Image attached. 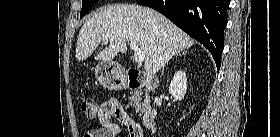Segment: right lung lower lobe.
<instances>
[{
    "label": "right lung lower lobe",
    "mask_w": 280,
    "mask_h": 137,
    "mask_svg": "<svg viewBox=\"0 0 280 137\" xmlns=\"http://www.w3.org/2000/svg\"><path fill=\"white\" fill-rule=\"evenodd\" d=\"M138 4L159 11L201 42L220 68L229 0H139Z\"/></svg>",
    "instance_id": "1"
}]
</instances>
